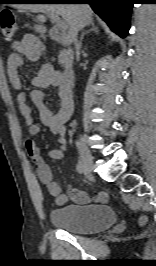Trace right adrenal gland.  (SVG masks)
<instances>
[{
	"label": "right adrenal gland",
	"instance_id": "right-adrenal-gland-1",
	"mask_svg": "<svg viewBox=\"0 0 156 266\" xmlns=\"http://www.w3.org/2000/svg\"><path fill=\"white\" fill-rule=\"evenodd\" d=\"M88 26L90 27V29L84 31V32L82 33V35H81V38H80V41H79V45H80V47L82 46L83 38H84V36H85L87 33H90V32H92V31H94V32H96V33L99 32L98 27L95 26V24H94L93 21L90 22V23L88 24Z\"/></svg>",
	"mask_w": 156,
	"mask_h": 266
}]
</instances>
